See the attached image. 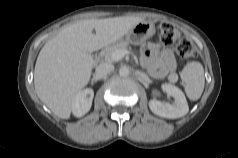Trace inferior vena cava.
I'll list each match as a JSON object with an SVG mask.
<instances>
[{"label":"inferior vena cava","instance_id":"inferior-vena-cava-1","mask_svg":"<svg viewBox=\"0 0 238 158\" xmlns=\"http://www.w3.org/2000/svg\"><path fill=\"white\" fill-rule=\"evenodd\" d=\"M113 69H114L113 64L108 63V62H103L97 66L96 74L98 76H104V75L111 73L113 71Z\"/></svg>","mask_w":238,"mask_h":158}]
</instances>
